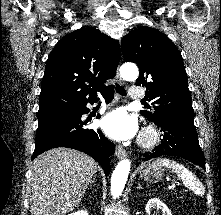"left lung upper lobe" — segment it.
I'll list each match as a JSON object with an SVG mask.
<instances>
[{
	"mask_svg": "<svg viewBox=\"0 0 221 215\" xmlns=\"http://www.w3.org/2000/svg\"><path fill=\"white\" fill-rule=\"evenodd\" d=\"M122 52L126 62L138 65L140 76L136 85L146 87L153 112L140 111L152 122L161 119L194 118L187 73L181 53L162 32L150 27L132 30L122 39Z\"/></svg>",
	"mask_w": 221,
	"mask_h": 215,
	"instance_id": "1",
	"label": "left lung upper lobe"
}]
</instances>
